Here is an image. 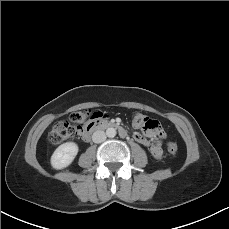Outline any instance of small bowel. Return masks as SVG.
Instances as JSON below:
<instances>
[{
    "label": "small bowel",
    "mask_w": 229,
    "mask_h": 229,
    "mask_svg": "<svg viewBox=\"0 0 229 229\" xmlns=\"http://www.w3.org/2000/svg\"><path fill=\"white\" fill-rule=\"evenodd\" d=\"M161 136L162 130L154 132L152 130L145 129L144 134L136 133L134 138L142 145L148 147L150 154L155 159H160L163 153L161 147ZM148 138H153V141H150Z\"/></svg>",
    "instance_id": "obj_1"
}]
</instances>
